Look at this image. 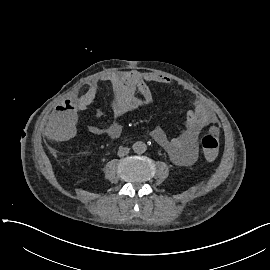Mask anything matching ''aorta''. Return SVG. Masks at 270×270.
<instances>
[{
	"label": "aorta",
	"instance_id": "762f6f07",
	"mask_svg": "<svg viewBox=\"0 0 270 270\" xmlns=\"http://www.w3.org/2000/svg\"><path fill=\"white\" fill-rule=\"evenodd\" d=\"M133 150L137 154H142L147 150V145L142 141H137L132 146Z\"/></svg>",
	"mask_w": 270,
	"mask_h": 270
}]
</instances>
